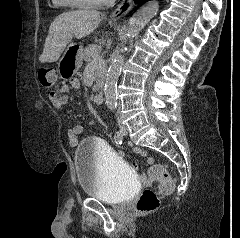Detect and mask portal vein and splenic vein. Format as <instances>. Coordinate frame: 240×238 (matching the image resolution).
I'll list each match as a JSON object with an SVG mask.
<instances>
[{"mask_svg": "<svg viewBox=\"0 0 240 238\" xmlns=\"http://www.w3.org/2000/svg\"><path fill=\"white\" fill-rule=\"evenodd\" d=\"M94 59L95 61H98V62L101 61L100 56L98 54H94Z\"/></svg>", "mask_w": 240, "mask_h": 238, "instance_id": "portal-vein-and-splenic-vein-1", "label": "portal vein and splenic vein"}]
</instances>
